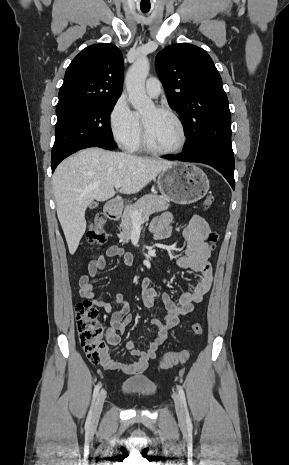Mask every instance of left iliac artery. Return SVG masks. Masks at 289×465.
I'll return each instance as SVG.
<instances>
[{
	"mask_svg": "<svg viewBox=\"0 0 289 465\" xmlns=\"http://www.w3.org/2000/svg\"><path fill=\"white\" fill-rule=\"evenodd\" d=\"M177 389H178V393H179V396L183 402V405H184V408H185V414H186V422L188 425H191V419H190V416H189V412H188V409H187V404H186V397H185V392L183 390V387L178 385L177 386Z\"/></svg>",
	"mask_w": 289,
	"mask_h": 465,
	"instance_id": "obj_1",
	"label": "left iliac artery"
}]
</instances>
